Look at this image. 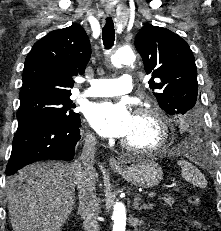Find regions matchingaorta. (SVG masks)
<instances>
[{
	"mask_svg": "<svg viewBox=\"0 0 221 231\" xmlns=\"http://www.w3.org/2000/svg\"><path fill=\"white\" fill-rule=\"evenodd\" d=\"M135 53L131 48L122 47L117 49L111 55V63L116 68H121L123 65L133 64L135 61ZM113 227L112 231L126 230V209L122 202H116L113 209Z\"/></svg>",
	"mask_w": 221,
	"mask_h": 231,
	"instance_id": "1",
	"label": "aorta"
}]
</instances>
